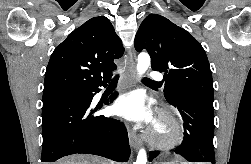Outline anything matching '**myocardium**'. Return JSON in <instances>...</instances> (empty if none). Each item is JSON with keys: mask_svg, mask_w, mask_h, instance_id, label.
I'll list each match as a JSON object with an SVG mask.
<instances>
[{"mask_svg": "<svg viewBox=\"0 0 251 164\" xmlns=\"http://www.w3.org/2000/svg\"><path fill=\"white\" fill-rule=\"evenodd\" d=\"M183 139V129L179 119L169 111H163L155 128L148 137L149 144L156 149H172Z\"/></svg>", "mask_w": 251, "mask_h": 164, "instance_id": "obj_1", "label": "myocardium"}]
</instances>
